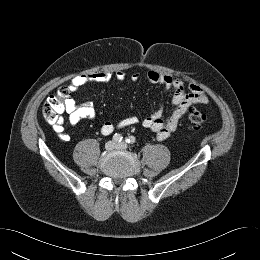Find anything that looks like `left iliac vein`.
<instances>
[{
	"instance_id": "obj_1",
	"label": "left iliac vein",
	"mask_w": 260,
	"mask_h": 260,
	"mask_svg": "<svg viewBox=\"0 0 260 260\" xmlns=\"http://www.w3.org/2000/svg\"><path fill=\"white\" fill-rule=\"evenodd\" d=\"M117 149H126L127 148V144L126 143H118L116 145Z\"/></svg>"
}]
</instances>
